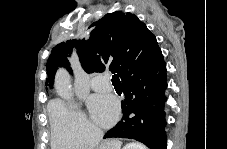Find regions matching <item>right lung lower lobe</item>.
I'll return each instance as SVG.
<instances>
[{
  "label": "right lung lower lobe",
  "mask_w": 227,
  "mask_h": 149,
  "mask_svg": "<svg viewBox=\"0 0 227 149\" xmlns=\"http://www.w3.org/2000/svg\"><path fill=\"white\" fill-rule=\"evenodd\" d=\"M166 65L163 56L154 64L136 70L122 80L125 99L123 119L104 138L135 139L150 149H166Z\"/></svg>",
  "instance_id": "1"
}]
</instances>
